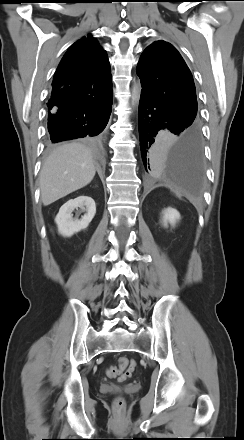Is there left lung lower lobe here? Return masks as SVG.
I'll list each match as a JSON object with an SVG mask.
<instances>
[{
	"mask_svg": "<svg viewBox=\"0 0 244 440\" xmlns=\"http://www.w3.org/2000/svg\"><path fill=\"white\" fill-rule=\"evenodd\" d=\"M138 127L146 171L172 174L183 190L197 193L204 170L200 130L182 123L165 105L144 93L139 102ZM163 131L177 138L167 142L161 135Z\"/></svg>",
	"mask_w": 244,
	"mask_h": 440,
	"instance_id": "left-lung-lower-lobe-1",
	"label": "left lung lower lobe"
}]
</instances>
